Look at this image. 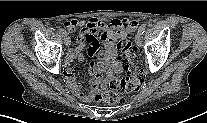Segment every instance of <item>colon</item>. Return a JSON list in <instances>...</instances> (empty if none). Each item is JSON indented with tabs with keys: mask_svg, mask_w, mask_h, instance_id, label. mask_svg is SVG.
Here are the masks:
<instances>
[{
	"mask_svg": "<svg viewBox=\"0 0 207 123\" xmlns=\"http://www.w3.org/2000/svg\"><path fill=\"white\" fill-rule=\"evenodd\" d=\"M117 49L126 73L124 76L119 74L110 76L105 82L104 89L94 96L97 102L119 103L125 94L137 91L144 82L143 73L137 63L131 33L125 34L118 40Z\"/></svg>",
	"mask_w": 207,
	"mask_h": 123,
	"instance_id": "5ec220e1",
	"label": "colon"
}]
</instances>
